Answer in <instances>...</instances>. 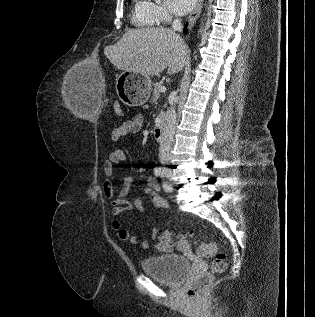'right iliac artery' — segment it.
Here are the masks:
<instances>
[{
	"label": "right iliac artery",
	"mask_w": 315,
	"mask_h": 317,
	"mask_svg": "<svg viewBox=\"0 0 315 317\" xmlns=\"http://www.w3.org/2000/svg\"><path fill=\"white\" fill-rule=\"evenodd\" d=\"M161 173H162V168H161V167H156V168L154 169V174H155L156 176H160Z\"/></svg>",
	"instance_id": "obj_1"
}]
</instances>
